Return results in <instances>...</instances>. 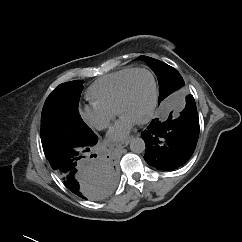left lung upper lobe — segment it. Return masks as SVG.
Listing matches in <instances>:
<instances>
[{"label":"left lung upper lobe","mask_w":242,"mask_h":242,"mask_svg":"<svg viewBox=\"0 0 242 242\" xmlns=\"http://www.w3.org/2000/svg\"><path fill=\"white\" fill-rule=\"evenodd\" d=\"M140 57L157 75L160 87L158 104L172 92L185 85L182 76L175 68L148 56Z\"/></svg>","instance_id":"obj_1"}]
</instances>
